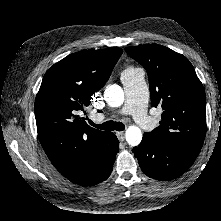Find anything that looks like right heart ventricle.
I'll return each instance as SVG.
<instances>
[{
    "label": "right heart ventricle",
    "instance_id": "e07e8e85",
    "mask_svg": "<svg viewBox=\"0 0 221 221\" xmlns=\"http://www.w3.org/2000/svg\"><path fill=\"white\" fill-rule=\"evenodd\" d=\"M133 70H135V69L132 68V67H130V68L126 69L123 73H125V72H130V71H133Z\"/></svg>",
    "mask_w": 221,
    "mask_h": 221
}]
</instances>
